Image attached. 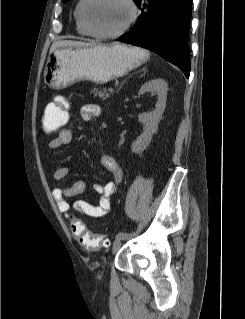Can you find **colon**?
Listing matches in <instances>:
<instances>
[{
    "mask_svg": "<svg viewBox=\"0 0 245 319\" xmlns=\"http://www.w3.org/2000/svg\"><path fill=\"white\" fill-rule=\"evenodd\" d=\"M67 120V109L65 102L60 99L55 104L46 108L42 118L45 131L52 133L59 130ZM71 230L78 243L87 250H97L106 245V239L99 234L92 233L86 229L83 223L71 216Z\"/></svg>",
    "mask_w": 245,
    "mask_h": 319,
    "instance_id": "5ec220e1",
    "label": "colon"
}]
</instances>
